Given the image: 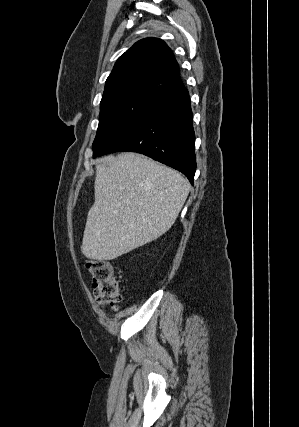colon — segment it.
<instances>
[{"label":"colon","instance_id":"obj_1","mask_svg":"<svg viewBox=\"0 0 299 427\" xmlns=\"http://www.w3.org/2000/svg\"><path fill=\"white\" fill-rule=\"evenodd\" d=\"M84 264L93 280L96 302L117 309L122 302L121 285L112 264L102 259H86Z\"/></svg>","mask_w":299,"mask_h":427}]
</instances>
